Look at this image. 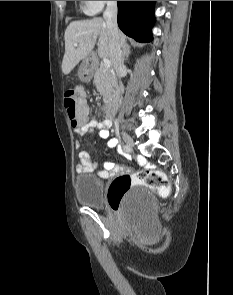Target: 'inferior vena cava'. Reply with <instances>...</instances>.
<instances>
[{
    "instance_id": "inferior-vena-cava-1",
    "label": "inferior vena cava",
    "mask_w": 233,
    "mask_h": 295,
    "mask_svg": "<svg viewBox=\"0 0 233 295\" xmlns=\"http://www.w3.org/2000/svg\"><path fill=\"white\" fill-rule=\"evenodd\" d=\"M103 17L107 23L110 33L109 47L111 61L116 72L117 79L120 83V79L123 75L125 66L118 34L119 30L117 25V1H107V8L103 14Z\"/></svg>"
}]
</instances>
